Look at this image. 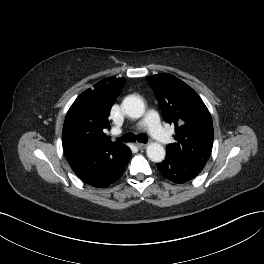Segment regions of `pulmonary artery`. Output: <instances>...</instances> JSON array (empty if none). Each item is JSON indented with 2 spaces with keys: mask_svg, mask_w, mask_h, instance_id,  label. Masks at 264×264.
I'll list each match as a JSON object with an SVG mask.
<instances>
[{
  "mask_svg": "<svg viewBox=\"0 0 264 264\" xmlns=\"http://www.w3.org/2000/svg\"><path fill=\"white\" fill-rule=\"evenodd\" d=\"M139 126H146L154 139L160 144H167L169 142V136L162 128L158 113L151 110L149 111L144 120L138 124Z\"/></svg>",
  "mask_w": 264,
  "mask_h": 264,
  "instance_id": "obj_1",
  "label": "pulmonary artery"
}]
</instances>
